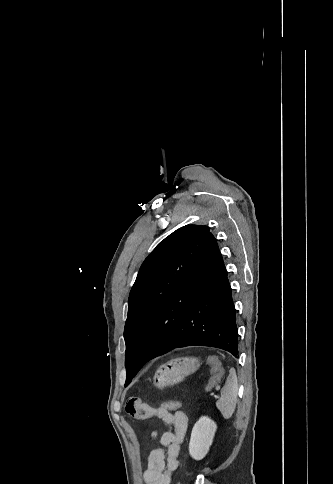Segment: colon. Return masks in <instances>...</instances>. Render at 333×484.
I'll list each match as a JSON object with an SVG mask.
<instances>
[{
    "label": "colon",
    "mask_w": 333,
    "mask_h": 484,
    "mask_svg": "<svg viewBox=\"0 0 333 484\" xmlns=\"http://www.w3.org/2000/svg\"><path fill=\"white\" fill-rule=\"evenodd\" d=\"M208 364L211 369V377L207 385V390H211L212 388L216 387L221 381L223 376V371L219 362L213 358H210L208 360ZM181 405L182 404L180 401L171 400L161 404L157 408H159L161 411H175V410H180Z\"/></svg>",
    "instance_id": "1"
}]
</instances>
